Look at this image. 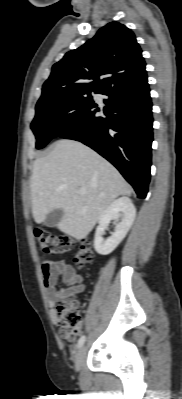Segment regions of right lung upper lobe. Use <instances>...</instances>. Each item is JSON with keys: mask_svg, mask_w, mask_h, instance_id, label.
Here are the masks:
<instances>
[{"mask_svg": "<svg viewBox=\"0 0 182 399\" xmlns=\"http://www.w3.org/2000/svg\"><path fill=\"white\" fill-rule=\"evenodd\" d=\"M134 33L111 22L52 67L39 101L60 96L104 94L113 86L146 76L145 61ZM100 76H106L100 80ZM38 101V102H39Z\"/></svg>", "mask_w": 182, "mask_h": 399, "instance_id": "right-lung-upper-lobe-1", "label": "right lung upper lobe"}]
</instances>
